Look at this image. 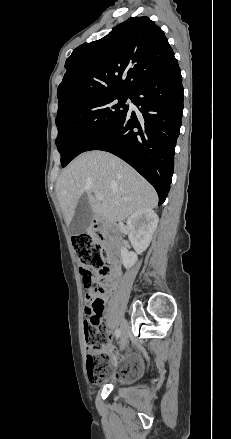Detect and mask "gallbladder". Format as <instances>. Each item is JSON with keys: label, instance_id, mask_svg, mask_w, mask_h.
<instances>
[{"label": "gallbladder", "instance_id": "gallbladder-1", "mask_svg": "<svg viewBox=\"0 0 231 439\" xmlns=\"http://www.w3.org/2000/svg\"><path fill=\"white\" fill-rule=\"evenodd\" d=\"M92 219V210L87 195H83L76 207L75 215L69 225L71 234H80L85 232L90 226Z\"/></svg>", "mask_w": 231, "mask_h": 439}]
</instances>
